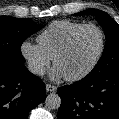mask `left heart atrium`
Instances as JSON below:
<instances>
[{"label": "left heart atrium", "instance_id": "left-heart-atrium-1", "mask_svg": "<svg viewBox=\"0 0 119 119\" xmlns=\"http://www.w3.org/2000/svg\"><path fill=\"white\" fill-rule=\"evenodd\" d=\"M64 77L65 76L63 75V73L57 67H55L51 72V78L53 80H59Z\"/></svg>", "mask_w": 119, "mask_h": 119}]
</instances>
